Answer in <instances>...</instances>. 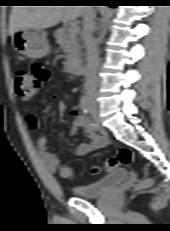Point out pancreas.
Wrapping results in <instances>:
<instances>
[{
	"label": "pancreas",
	"mask_w": 170,
	"mask_h": 231,
	"mask_svg": "<svg viewBox=\"0 0 170 231\" xmlns=\"http://www.w3.org/2000/svg\"><path fill=\"white\" fill-rule=\"evenodd\" d=\"M57 43L65 53L64 68L67 71H73L78 67L81 61V45L76 35L69 32V28L63 27L58 29L54 34Z\"/></svg>",
	"instance_id": "obj_1"
}]
</instances>
